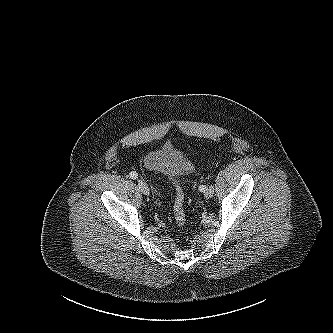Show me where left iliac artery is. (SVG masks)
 Masks as SVG:
<instances>
[{
	"instance_id": "44dca946",
	"label": "left iliac artery",
	"mask_w": 333,
	"mask_h": 333,
	"mask_svg": "<svg viewBox=\"0 0 333 333\" xmlns=\"http://www.w3.org/2000/svg\"><path fill=\"white\" fill-rule=\"evenodd\" d=\"M211 188H213V186H210ZM209 187V188H210ZM207 189V187L206 186H204V185H200L199 186V191H201V192H205V190ZM214 189V188H213Z\"/></svg>"
}]
</instances>
